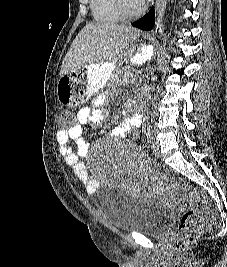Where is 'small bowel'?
<instances>
[{
  "label": "small bowel",
  "instance_id": "obj_1",
  "mask_svg": "<svg viewBox=\"0 0 227 267\" xmlns=\"http://www.w3.org/2000/svg\"><path fill=\"white\" fill-rule=\"evenodd\" d=\"M104 99H99L98 104H102ZM104 117V111L91 106L80 108L76 115V122L73 123L69 130H59L56 140L59 144L60 154L70 166L75 176L85 185L89 194H94L99 186L98 180L92 176L81 157L87 154L88 147L83 139V125L87 122L99 124ZM142 123L140 115H131L123 120L121 125L115 130L117 136H127L133 133ZM74 142L78 148V152H74L71 146Z\"/></svg>",
  "mask_w": 227,
  "mask_h": 267
}]
</instances>
